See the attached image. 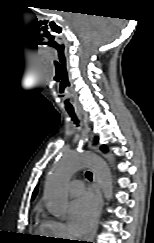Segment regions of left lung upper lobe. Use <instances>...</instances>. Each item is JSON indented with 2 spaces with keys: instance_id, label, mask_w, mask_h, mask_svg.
<instances>
[{
  "instance_id": "1",
  "label": "left lung upper lobe",
  "mask_w": 154,
  "mask_h": 243,
  "mask_svg": "<svg viewBox=\"0 0 154 243\" xmlns=\"http://www.w3.org/2000/svg\"><path fill=\"white\" fill-rule=\"evenodd\" d=\"M101 149H102L103 151H105V150H106V147H105V146H102Z\"/></svg>"
}]
</instances>
